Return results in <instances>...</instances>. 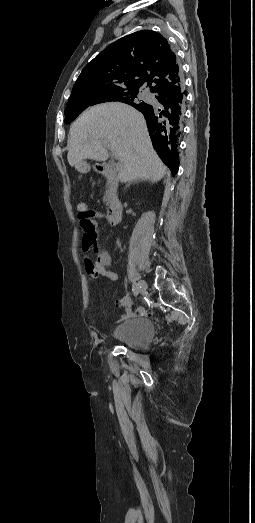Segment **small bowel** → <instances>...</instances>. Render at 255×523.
Segmentation results:
<instances>
[{
  "label": "small bowel",
  "mask_w": 255,
  "mask_h": 523,
  "mask_svg": "<svg viewBox=\"0 0 255 523\" xmlns=\"http://www.w3.org/2000/svg\"><path fill=\"white\" fill-rule=\"evenodd\" d=\"M103 217L102 213L93 211L91 212V219L88 222H80L83 232V260L88 274L92 276H102L115 282L118 280V274L110 270V267L113 265L110 254L96 246L99 238L96 219H101ZM92 249L96 253L95 259H93L90 254Z\"/></svg>",
  "instance_id": "c3829d8e"
}]
</instances>
